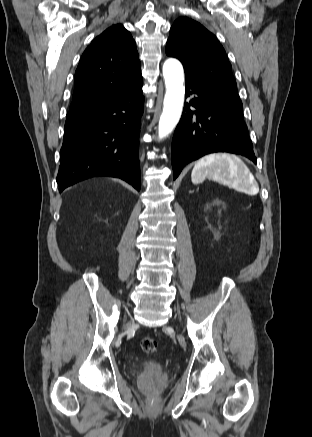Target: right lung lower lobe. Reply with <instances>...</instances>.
Masks as SVG:
<instances>
[{"instance_id": "right-lung-lower-lobe-1", "label": "right lung lower lobe", "mask_w": 312, "mask_h": 437, "mask_svg": "<svg viewBox=\"0 0 312 437\" xmlns=\"http://www.w3.org/2000/svg\"><path fill=\"white\" fill-rule=\"evenodd\" d=\"M142 85L141 76L113 97L66 117L59 192L93 176L120 178L140 190Z\"/></svg>"}]
</instances>
